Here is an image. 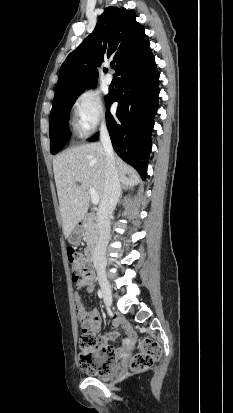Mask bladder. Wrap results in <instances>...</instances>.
<instances>
[{
    "label": "bladder",
    "mask_w": 233,
    "mask_h": 413,
    "mask_svg": "<svg viewBox=\"0 0 233 413\" xmlns=\"http://www.w3.org/2000/svg\"><path fill=\"white\" fill-rule=\"evenodd\" d=\"M92 376L97 379L105 380L112 376V372H109L107 374H93Z\"/></svg>",
    "instance_id": "31cf9c89"
}]
</instances>
